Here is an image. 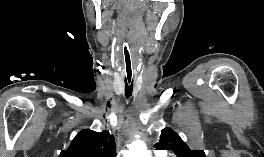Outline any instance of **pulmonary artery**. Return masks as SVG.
Here are the masks:
<instances>
[{"mask_svg": "<svg viewBox=\"0 0 264 157\" xmlns=\"http://www.w3.org/2000/svg\"><path fill=\"white\" fill-rule=\"evenodd\" d=\"M159 155L163 156L165 153L163 151L158 152Z\"/></svg>", "mask_w": 264, "mask_h": 157, "instance_id": "obj_1", "label": "pulmonary artery"}]
</instances>
